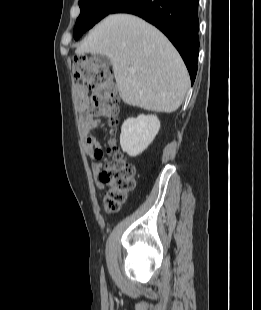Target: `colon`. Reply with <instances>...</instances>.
<instances>
[{
	"label": "colon",
	"mask_w": 261,
	"mask_h": 310,
	"mask_svg": "<svg viewBox=\"0 0 261 310\" xmlns=\"http://www.w3.org/2000/svg\"><path fill=\"white\" fill-rule=\"evenodd\" d=\"M73 74L76 81L91 89L92 94L83 106L98 123L99 117H105L111 129L117 124L120 100L113 81L111 70L100 64L94 57L80 54L74 57ZM107 156L100 180L108 187L104 197V208L109 213L117 212L127 202L135 187V168L123 159L115 141L111 139L104 152L95 151V157Z\"/></svg>",
	"instance_id": "1"
}]
</instances>
